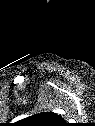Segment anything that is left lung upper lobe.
I'll use <instances>...</instances> for the list:
<instances>
[{
  "instance_id": "left-lung-upper-lobe-1",
  "label": "left lung upper lobe",
  "mask_w": 95,
  "mask_h": 126,
  "mask_svg": "<svg viewBox=\"0 0 95 126\" xmlns=\"http://www.w3.org/2000/svg\"><path fill=\"white\" fill-rule=\"evenodd\" d=\"M24 124L29 126H60L62 118L53 112H41L39 114L25 118Z\"/></svg>"
}]
</instances>
